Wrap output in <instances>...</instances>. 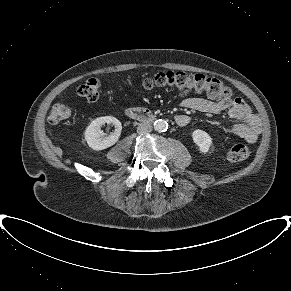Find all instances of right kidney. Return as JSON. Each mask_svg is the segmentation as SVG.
Segmentation results:
<instances>
[{"instance_id":"right-kidney-1","label":"right kidney","mask_w":291,"mask_h":291,"mask_svg":"<svg viewBox=\"0 0 291 291\" xmlns=\"http://www.w3.org/2000/svg\"><path fill=\"white\" fill-rule=\"evenodd\" d=\"M113 124L115 127L114 132L109 136H104L101 131V126L103 124ZM122 125L121 122L112 116H104L96 118L91 122V124L85 130V140L90 148L99 151L114 145L121 134Z\"/></svg>"}]
</instances>
